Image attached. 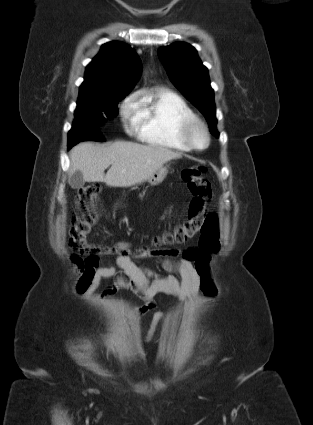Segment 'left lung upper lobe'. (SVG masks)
<instances>
[{"mask_svg": "<svg viewBox=\"0 0 313 425\" xmlns=\"http://www.w3.org/2000/svg\"><path fill=\"white\" fill-rule=\"evenodd\" d=\"M158 56L171 82L201 111L211 133L218 138L214 90L210 86L208 69L202 64L196 49L188 43L176 42L160 47Z\"/></svg>", "mask_w": 313, "mask_h": 425, "instance_id": "left-lung-upper-lobe-1", "label": "left lung upper lobe"}]
</instances>
